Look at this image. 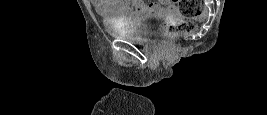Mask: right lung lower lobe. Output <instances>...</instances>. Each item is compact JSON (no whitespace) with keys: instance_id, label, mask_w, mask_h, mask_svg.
<instances>
[{"instance_id":"98d812e1","label":"right lung lower lobe","mask_w":267,"mask_h":115,"mask_svg":"<svg viewBox=\"0 0 267 115\" xmlns=\"http://www.w3.org/2000/svg\"><path fill=\"white\" fill-rule=\"evenodd\" d=\"M146 91H153V89H150V88H147V89H145Z\"/></svg>"}]
</instances>
